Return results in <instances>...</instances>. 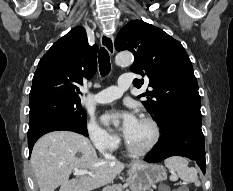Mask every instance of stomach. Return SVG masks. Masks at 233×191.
<instances>
[{"instance_id": "1", "label": "stomach", "mask_w": 233, "mask_h": 191, "mask_svg": "<svg viewBox=\"0 0 233 191\" xmlns=\"http://www.w3.org/2000/svg\"><path fill=\"white\" fill-rule=\"evenodd\" d=\"M166 178V172L161 165L137 162L129 169L127 182L133 191H142Z\"/></svg>"}]
</instances>
